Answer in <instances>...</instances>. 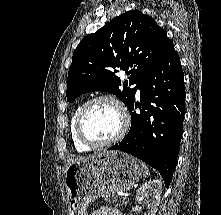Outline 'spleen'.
Here are the masks:
<instances>
[{"label": "spleen", "mask_w": 221, "mask_h": 215, "mask_svg": "<svg viewBox=\"0 0 221 215\" xmlns=\"http://www.w3.org/2000/svg\"><path fill=\"white\" fill-rule=\"evenodd\" d=\"M142 172L145 177L149 175V169L146 165H142Z\"/></svg>", "instance_id": "spleen-1"}]
</instances>
